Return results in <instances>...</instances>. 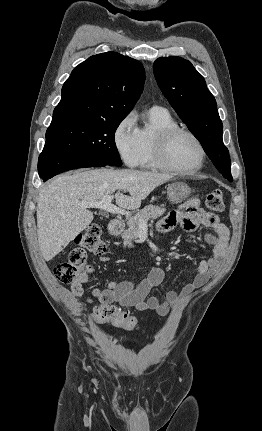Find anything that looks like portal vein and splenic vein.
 Listing matches in <instances>:
<instances>
[{"mask_svg": "<svg viewBox=\"0 0 262 431\" xmlns=\"http://www.w3.org/2000/svg\"><path fill=\"white\" fill-rule=\"evenodd\" d=\"M113 196H108L103 198L101 201L98 202H82L81 206L84 208H98L105 212L112 213V214H122V215H129L130 212L125 211L124 209H121L114 204H112ZM146 225L143 219H140V226Z\"/></svg>", "mask_w": 262, "mask_h": 431, "instance_id": "1", "label": "portal vein and splenic vein"}]
</instances>
